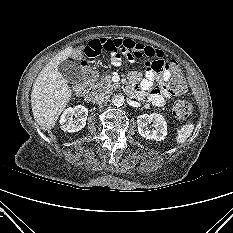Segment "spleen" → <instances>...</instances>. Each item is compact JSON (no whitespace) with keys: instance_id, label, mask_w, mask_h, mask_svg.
<instances>
[{"instance_id":"1","label":"spleen","mask_w":233,"mask_h":233,"mask_svg":"<svg viewBox=\"0 0 233 233\" xmlns=\"http://www.w3.org/2000/svg\"><path fill=\"white\" fill-rule=\"evenodd\" d=\"M194 124L188 122L185 125L181 126L177 130V136H176V143L181 144L184 143L187 138H189L193 132Z\"/></svg>"}]
</instances>
